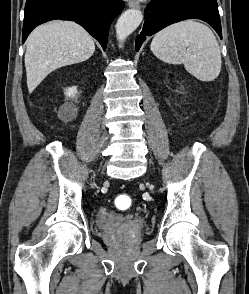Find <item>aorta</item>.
<instances>
[{
	"mask_svg": "<svg viewBox=\"0 0 249 294\" xmlns=\"http://www.w3.org/2000/svg\"><path fill=\"white\" fill-rule=\"evenodd\" d=\"M143 20L142 12L138 9L126 10L118 19L116 24V36L119 43L126 38L140 25Z\"/></svg>",
	"mask_w": 249,
	"mask_h": 294,
	"instance_id": "762f6f07",
	"label": "aorta"
}]
</instances>
